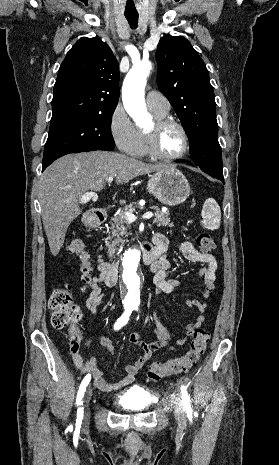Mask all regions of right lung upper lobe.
I'll list each match as a JSON object with an SVG mask.
<instances>
[{"mask_svg":"<svg viewBox=\"0 0 279 465\" xmlns=\"http://www.w3.org/2000/svg\"><path fill=\"white\" fill-rule=\"evenodd\" d=\"M119 66L109 46L83 37L67 53L54 86L51 124L115 110Z\"/></svg>","mask_w":279,"mask_h":465,"instance_id":"cb5924a9","label":"right lung upper lobe"}]
</instances>
